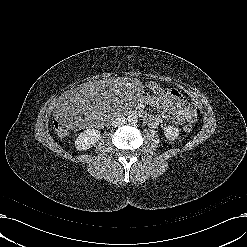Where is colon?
Wrapping results in <instances>:
<instances>
[{
    "label": "colon",
    "instance_id": "1",
    "mask_svg": "<svg viewBox=\"0 0 247 247\" xmlns=\"http://www.w3.org/2000/svg\"><path fill=\"white\" fill-rule=\"evenodd\" d=\"M147 94L150 98H152L155 101L162 102L166 100L168 93L166 89L163 87L157 85V84H152L148 87L147 89ZM70 114H65L58 120H55L53 123L54 130L59 136H65L68 132V126H67V120ZM193 128L192 122L186 124L184 126V131L185 132H190Z\"/></svg>",
    "mask_w": 247,
    "mask_h": 247
}]
</instances>
